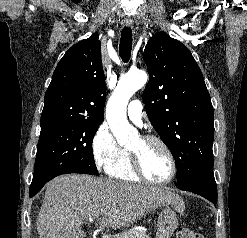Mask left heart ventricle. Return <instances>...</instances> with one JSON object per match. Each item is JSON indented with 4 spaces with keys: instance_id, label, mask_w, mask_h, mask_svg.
Here are the masks:
<instances>
[{
    "instance_id": "b2bd125f",
    "label": "left heart ventricle",
    "mask_w": 247,
    "mask_h": 238,
    "mask_svg": "<svg viewBox=\"0 0 247 238\" xmlns=\"http://www.w3.org/2000/svg\"><path fill=\"white\" fill-rule=\"evenodd\" d=\"M129 150L140 157L145 175L152 180L166 179L171 171L169 158L163 148L156 143H145L137 138Z\"/></svg>"
}]
</instances>
